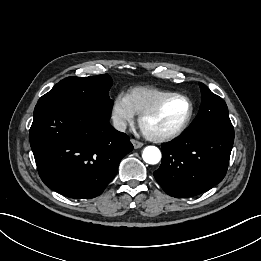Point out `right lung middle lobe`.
I'll return each mask as SVG.
<instances>
[{
  "label": "right lung middle lobe",
  "instance_id": "right-lung-middle-lobe-1",
  "mask_svg": "<svg viewBox=\"0 0 261 261\" xmlns=\"http://www.w3.org/2000/svg\"><path fill=\"white\" fill-rule=\"evenodd\" d=\"M112 79L107 74L92 77H67L58 82L37 104L88 109L111 117L113 101L109 97Z\"/></svg>",
  "mask_w": 261,
  "mask_h": 261
}]
</instances>
